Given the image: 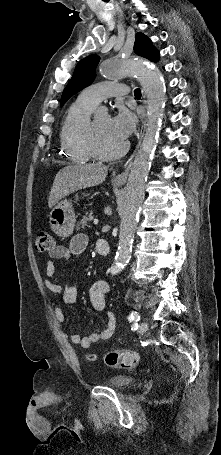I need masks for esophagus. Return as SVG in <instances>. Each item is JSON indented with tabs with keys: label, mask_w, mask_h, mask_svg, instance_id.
Segmentation results:
<instances>
[{
	"label": "esophagus",
	"mask_w": 221,
	"mask_h": 455,
	"mask_svg": "<svg viewBox=\"0 0 221 455\" xmlns=\"http://www.w3.org/2000/svg\"><path fill=\"white\" fill-rule=\"evenodd\" d=\"M144 104L146 106V100L145 99H144ZM145 128H146V119L143 121V124H142L141 129H140V141H141L142 137L144 136ZM134 156H135V154H133L128 159V161L125 163L124 171L121 174H118L117 176L114 177V179H113L114 182H116L118 184H123V183L126 182L128 174H129V171H130V168L132 166V162H133Z\"/></svg>",
	"instance_id": "esophagus-1"
}]
</instances>
